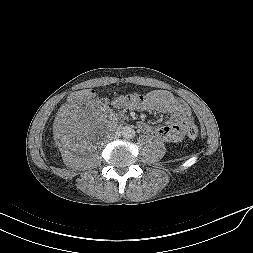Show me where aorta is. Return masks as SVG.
<instances>
[{
  "label": "aorta",
  "mask_w": 253,
  "mask_h": 253,
  "mask_svg": "<svg viewBox=\"0 0 253 253\" xmlns=\"http://www.w3.org/2000/svg\"><path fill=\"white\" fill-rule=\"evenodd\" d=\"M134 134V130L131 127H123L122 129V135L124 137H132V135Z\"/></svg>",
  "instance_id": "762f6f07"
}]
</instances>
